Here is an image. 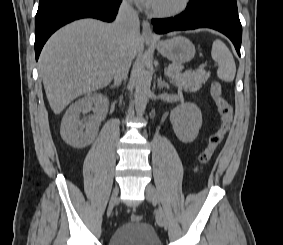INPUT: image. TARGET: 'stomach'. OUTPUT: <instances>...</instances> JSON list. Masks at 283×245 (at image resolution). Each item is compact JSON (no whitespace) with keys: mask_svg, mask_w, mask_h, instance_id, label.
Masks as SVG:
<instances>
[{"mask_svg":"<svg viewBox=\"0 0 283 245\" xmlns=\"http://www.w3.org/2000/svg\"><path fill=\"white\" fill-rule=\"evenodd\" d=\"M166 58L174 64H183L192 60L195 56V46L193 43L182 36L151 44Z\"/></svg>","mask_w":283,"mask_h":245,"instance_id":"1","label":"stomach"}]
</instances>
